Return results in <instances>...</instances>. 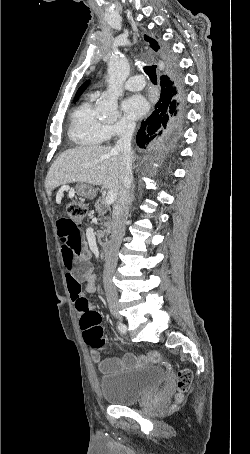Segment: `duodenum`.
Masks as SVG:
<instances>
[{"label": "duodenum", "mask_w": 250, "mask_h": 454, "mask_svg": "<svg viewBox=\"0 0 250 454\" xmlns=\"http://www.w3.org/2000/svg\"><path fill=\"white\" fill-rule=\"evenodd\" d=\"M102 250H103L104 260L107 261L110 258L111 251H112L110 242H104V244L102 245Z\"/></svg>", "instance_id": "duodenum-1"}]
</instances>
